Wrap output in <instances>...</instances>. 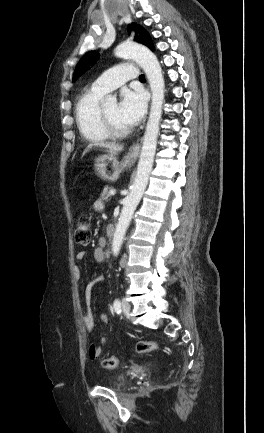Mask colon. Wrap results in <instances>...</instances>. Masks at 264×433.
Returning a JSON list of instances; mask_svg holds the SVG:
<instances>
[{
	"label": "colon",
	"mask_w": 264,
	"mask_h": 433,
	"mask_svg": "<svg viewBox=\"0 0 264 433\" xmlns=\"http://www.w3.org/2000/svg\"><path fill=\"white\" fill-rule=\"evenodd\" d=\"M74 240L80 246H87L91 241V223L87 215H82L74 232ZM105 340L101 337V346ZM160 348V344L152 340H140L136 344L138 353H149ZM102 366L107 369H114L120 365V359L116 356H109L102 359Z\"/></svg>",
	"instance_id": "colon-1"
}]
</instances>
